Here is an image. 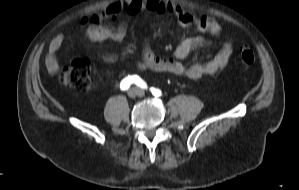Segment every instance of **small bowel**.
<instances>
[{
  "instance_id": "1",
  "label": "small bowel",
  "mask_w": 299,
  "mask_h": 190,
  "mask_svg": "<svg viewBox=\"0 0 299 190\" xmlns=\"http://www.w3.org/2000/svg\"><path fill=\"white\" fill-rule=\"evenodd\" d=\"M123 11L131 15H136L143 11L156 14L169 13L177 17L182 27L195 24L200 32H207L213 36L222 34V28L214 18L210 16H197L193 11L176 4L165 2L164 0H125L124 2L111 4L105 11L94 13L89 18H85V21L89 22L87 27L88 38L94 43L112 41L120 44L126 35L125 23L120 22L116 26H111L104 22L116 18ZM64 41V34L59 33L49 44L46 64L51 73H57L59 70L56 53L62 47ZM207 43L208 40L202 35L186 37L178 44L172 58L157 57L152 47L149 44H145L142 48V58L137 61V67L142 71L165 72L186 76L190 79H199L205 75H213L227 65L232 55L233 48L229 41H225L220 51L205 63H194L191 65L184 63V60L194 48ZM116 59V53L102 56V60L105 63H113Z\"/></svg>"
}]
</instances>
